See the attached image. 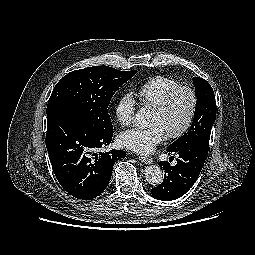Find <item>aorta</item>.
Returning a JSON list of instances; mask_svg holds the SVG:
<instances>
[{"instance_id": "1", "label": "aorta", "mask_w": 255, "mask_h": 255, "mask_svg": "<svg viewBox=\"0 0 255 255\" xmlns=\"http://www.w3.org/2000/svg\"><path fill=\"white\" fill-rule=\"evenodd\" d=\"M149 109L142 107L135 114L136 124L139 128L145 129L149 125ZM146 181L152 186H158L163 182V172L159 166L150 165L145 168Z\"/></svg>"}]
</instances>
